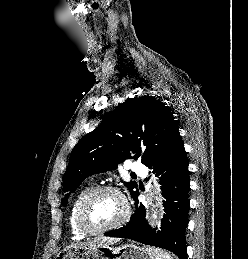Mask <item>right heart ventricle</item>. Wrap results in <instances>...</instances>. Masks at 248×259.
Masks as SVG:
<instances>
[{
  "label": "right heart ventricle",
  "instance_id": "e07e8e85",
  "mask_svg": "<svg viewBox=\"0 0 248 259\" xmlns=\"http://www.w3.org/2000/svg\"><path fill=\"white\" fill-rule=\"evenodd\" d=\"M90 191L89 187H86L84 189H82L80 192H78L71 204L70 207V211H69V227H70V231L71 234L74 238L76 239H81L83 237L86 236V234L84 232H82L76 222V212H77V208L81 202V200L85 197V195Z\"/></svg>",
  "mask_w": 248,
  "mask_h": 259
}]
</instances>
